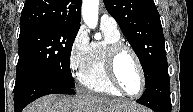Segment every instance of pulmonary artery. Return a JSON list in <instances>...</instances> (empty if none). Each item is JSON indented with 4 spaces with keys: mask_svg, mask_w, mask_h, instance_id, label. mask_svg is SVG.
<instances>
[{
    "mask_svg": "<svg viewBox=\"0 0 193 112\" xmlns=\"http://www.w3.org/2000/svg\"><path fill=\"white\" fill-rule=\"evenodd\" d=\"M100 25H101V28H106L115 32H119L118 24L116 20L108 14H104L101 16Z\"/></svg>",
    "mask_w": 193,
    "mask_h": 112,
    "instance_id": "e3ab8cb5",
    "label": "pulmonary artery"
}]
</instances>
